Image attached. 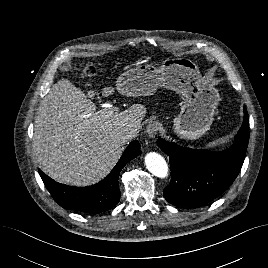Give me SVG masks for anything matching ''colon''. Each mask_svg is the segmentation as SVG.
I'll list each match as a JSON object with an SVG mask.
<instances>
[{
    "label": "colon",
    "mask_w": 268,
    "mask_h": 268,
    "mask_svg": "<svg viewBox=\"0 0 268 268\" xmlns=\"http://www.w3.org/2000/svg\"><path fill=\"white\" fill-rule=\"evenodd\" d=\"M95 73V66L91 63H85L80 67V75L87 78Z\"/></svg>",
    "instance_id": "1"
}]
</instances>
